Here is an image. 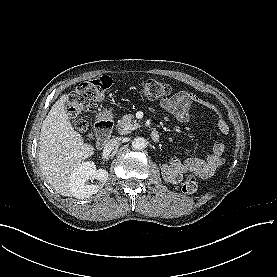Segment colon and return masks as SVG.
<instances>
[{"label":"colon","mask_w":277,"mask_h":277,"mask_svg":"<svg viewBox=\"0 0 277 277\" xmlns=\"http://www.w3.org/2000/svg\"><path fill=\"white\" fill-rule=\"evenodd\" d=\"M112 84L111 78L104 76L79 84L69 95L66 110L73 119V125L77 131L83 133L88 127L80 114L89 108L97 107L111 89ZM141 91L147 99H164L171 93V87L157 80H147L142 83ZM196 190L197 182L194 178H188L182 186L183 193L187 195L195 193Z\"/></svg>","instance_id":"5ec220e1"}]
</instances>
